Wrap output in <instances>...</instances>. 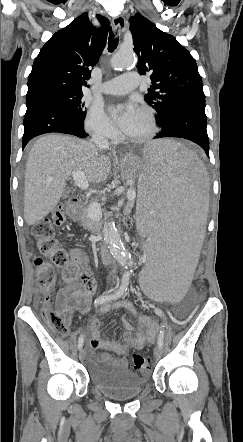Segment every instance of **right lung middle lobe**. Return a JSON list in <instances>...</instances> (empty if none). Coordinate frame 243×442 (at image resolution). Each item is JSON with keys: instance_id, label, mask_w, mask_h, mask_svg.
Segmentation results:
<instances>
[{"instance_id": "dd1d6c3e", "label": "right lung middle lobe", "mask_w": 243, "mask_h": 442, "mask_svg": "<svg viewBox=\"0 0 243 442\" xmlns=\"http://www.w3.org/2000/svg\"><path fill=\"white\" fill-rule=\"evenodd\" d=\"M42 95L53 96L63 101L69 106L71 111L78 119L84 121L86 111L84 110V104L81 102L83 96L82 92L53 89L43 93Z\"/></svg>"}]
</instances>
